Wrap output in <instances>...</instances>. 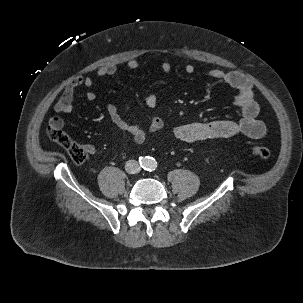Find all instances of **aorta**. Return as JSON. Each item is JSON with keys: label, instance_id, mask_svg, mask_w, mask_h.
I'll list each match as a JSON object with an SVG mask.
<instances>
[{"label": "aorta", "instance_id": "aorta-1", "mask_svg": "<svg viewBox=\"0 0 303 303\" xmlns=\"http://www.w3.org/2000/svg\"><path fill=\"white\" fill-rule=\"evenodd\" d=\"M143 166L146 169L153 170L157 167V162L153 158H146V159H144Z\"/></svg>", "mask_w": 303, "mask_h": 303}]
</instances>
